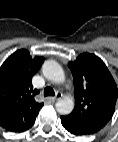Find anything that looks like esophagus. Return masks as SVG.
<instances>
[{
	"label": "esophagus",
	"instance_id": "esophagus-1",
	"mask_svg": "<svg viewBox=\"0 0 118 142\" xmlns=\"http://www.w3.org/2000/svg\"><path fill=\"white\" fill-rule=\"evenodd\" d=\"M62 96H63L62 93L57 92V94H56L54 97H50L49 100H50L51 102H56V101L59 100Z\"/></svg>",
	"mask_w": 118,
	"mask_h": 142
}]
</instances>
